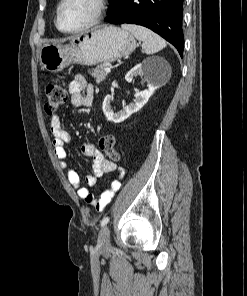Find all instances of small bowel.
<instances>
[{
	"instance_id": "obj_1",
	"label": "small bowel",
	"mask_w": 247,
	"mask_h": 296,
	"mask_svg": "<svg viewBox=\"0 0 247 296\" xmlns=\"http://www.w3.org/2000/svg\"><path fill=\"white\" fill-rule=\"evenodd\" d=\"M70 94V103L73 107H90L94 100L95 90L92 84L88 83L82 75L75 76L68 84ZM50 129L53 134L52 146L53 152L61 169L65 170L66 177L70 185L76 189L77 195L86 203L93 206L98 212H102L112 201L115 193L121 186L120 179L111 182L110 188L101 191L96 196L86 187L81 186V180L78 173L69 168L67 163V153L65 146L70 141V133L63 127L59 116L54 115ZM82 154L92 160L93 173L86 177V183L89 187L97 184L98 178L112 173L121 172L113 162L106 159L103 154L92 143H85L81 147Z\"/></svg>"
}]
</instances>
